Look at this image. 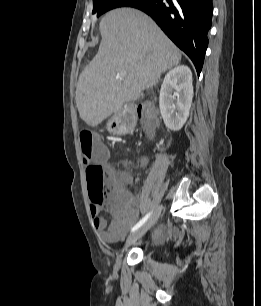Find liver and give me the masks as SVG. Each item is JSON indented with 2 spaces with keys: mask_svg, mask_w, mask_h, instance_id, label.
Masks as SVG:
<instances>
[{
  "mask_svg": "<svg viewBox=\"0 0 261 306\" xmlns=\"http://www.w3.org/2000/svg\"><path fill=\"white\" fill-rule=\"evenodd\" d=\"M101 43L81 72L76 88L80 117L90 126L122 110L181 61L180 50L145 13L109 11L100 22ZM125 72V76L117 75Z\"/></svg>",
  "mask_w": 261,
  "mask_h": 306,
  "instance_id": "6515ba94",
  "label": "liver"
}]
</instances>
